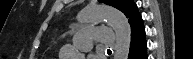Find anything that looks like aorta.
<instances>
[{
	"label": "aorta",
	"instance_id": "1",
	"mask_svg": "<svg viewBox=\"0 0 193 59\" xmlns=\"http://www.w3.org/2000/svg\"><path fill=\"white\" fill-rule=\"evenodd\" d=\"M77 20L80 23H93L106 20L116 34L114 59L128 58L131 43V27L128 19L122 12L98 4H89L78 13ZM61 57L63 59H84L83 54L72 49L70 46H65L62 49Z\"/></svg>",
	"mask_w": 193,
	"mask_h": 59
}]
</instances>
